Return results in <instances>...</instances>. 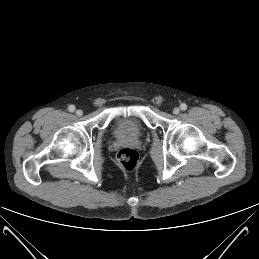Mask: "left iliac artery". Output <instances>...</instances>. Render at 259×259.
I'll return each instance as SVG.
<instances>
[{
    "label": "left iliac artery",
    "instance_id": "obj_1",
    "mask_svg": "<svg viewBox=\"0 0 259 259\" xmlns=\"http://www.w3.org/2000/svg\"><path fill=\"white\" fill-rule=\"evenodd\" d=\"M180 108H181L182 111H185L187 109V105L185 103H182L180 105Z\"/></svg>",
    "mask_w": 259,
    "mask_h": 259
}]
</instances>
